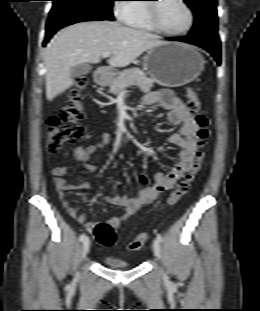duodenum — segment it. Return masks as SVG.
Masks as SVG:
<instances>
[{
  "label": "duodenum",
  "mask_w": 260,
  "mask_h": 311,
  "mask_svg": "<svg viewBox=\"0 0 260 311\" xmlns=\"http://www.w3.org/2000/svg\"><path fill=\"white\" fill-rule=\"evenodd\" d=\"M110 76V70L107 67H102L98 70L96 78L100 84H105Z\"/></svg>",
  "instance_id": "1"
}]
</instances>
